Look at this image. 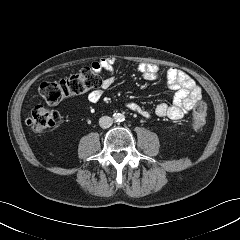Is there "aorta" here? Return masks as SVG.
<instances>
[{
    "label": "aorta",
    "mask_w": 240,
    "mask_h": 240,
    "mask_svg": "<svg viewBox=\"0 0 240 240\" xmlns=\"http://www.w3.org/2000/svg\"><path fill=\"white\" fill-rule=\"evenodd\" d=\"M114 119L116 120V121H122L123 120V115L122 114H115L114 115Z\"/></svg>",
    "instance_id": "aorta-1"
}]
</instances>
